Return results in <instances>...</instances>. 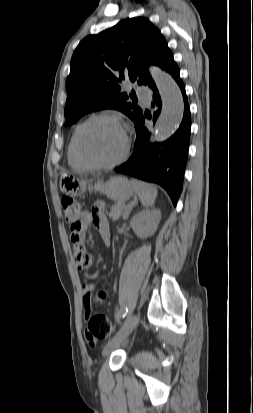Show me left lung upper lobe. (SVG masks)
<instances>
[{"label":"left lung upper lobe","instance_id":"left-lung-upper-lobe-1","mask_svg":"<svg viewBox=\"0 0 253 413\" xmlns=\"http://www.w3.org/2000/svg\"><path fill=\"white\" fill-rule=\"evenodd\" d=\"M172 57L161 32L143 17L121 20L115 26L84 38L71 59L66 81L65 120L75 123L83 115L101 109H117L135 122L142 110L129 102L134 93L120 83H154L146 64L165 68Z\"/></svg>","mask_w":253,"mask_h":413}]
</instances>
